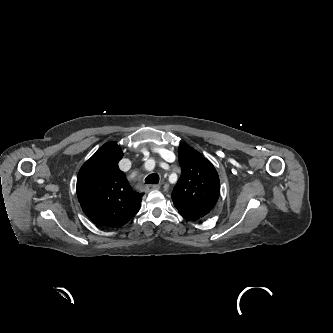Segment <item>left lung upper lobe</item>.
<instances>
[{"instance_id": "5c2ea615", "label": "left lung upper lobe", "mask_w": 333, "mask_h": 333, "mask_svg": "<svg viewBox=\"0 0 333 333\" xmlns=\"http://www.w3.org/2000/svg\"><path fill=\"white\" fill-rule=\"evenodd\" d=\"M179 163L182 173L171 195L174 206L181 215L203 217L218 200V173L209 160L185 144L179 146Z\"/></svg>"}]
</instances>
